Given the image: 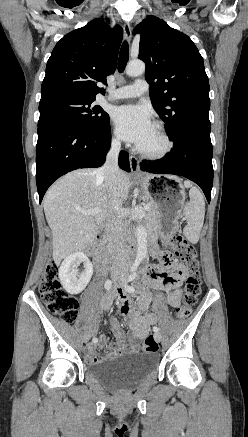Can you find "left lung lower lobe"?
I'll list each match as a JSON object with an SVG mask.
<instances>
[{
    "label": "left lung lower lobe",
    "instance_id": "left-lung-lower-lobe-1",
    "mask_svg": "<svg viewBox=\"0 0 248 437\" xmlns=\"http://www.w3.org/2000/svg\"><path fill=\"white\" fill-rule=\"evenodd\" d=\"M171 139L172 152L156 160L155 164H143L141 170L184 176L197 183L210 202L213 183L210 121L188 124Z\"/></svg>",
    "mask_w": 248,
    "mask_h": 437
}]
</instances>
